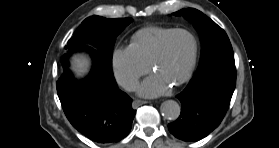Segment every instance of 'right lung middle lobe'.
<instances>
[{
	"label": "right lung middle lobe",
	"mask_w": 279,
	"mask_h": 148,
	"mask_svg": "<svg viewBox=\"0 0 279 148\" xmlns=\"http://www.w3.org/2000/svg\"><path fill=\"white\" fill-rule=\"evenodd\" d=\"M131 22L132 18L88 17L77 28L68 45L89 43L96 46L107 67L112 68V52L115 39Z\"/></svg>",
	"instance_id": "obj_1"
}]
</instances>
